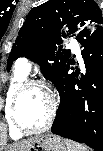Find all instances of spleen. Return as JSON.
Returning <instances> with one entry per match:
<instances>
[{
    "label": "spleen",
    "mask_w": 103,
    "mask_h": 151,
    "mask_svg": "<svg viewBox=\"0 0 103 151\" xmlns=\"http://www.w3.org/2000/svg\"><path fill=\"white\" fill-rule=\"evenodd\" d=\"M64 143L66 144L68 151H87L82 144L77 142L65 139Z\"/></svg>",
    "instance_id": "3e777b00"
}]
</instances>
